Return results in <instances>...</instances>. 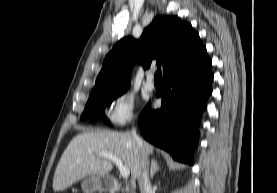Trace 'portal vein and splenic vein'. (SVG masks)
<instances>
[{
  "mask_svg": "<svg viewBox=\"0 0 277 193\" xmlns=\"http://www.w3.org/2000/svg\"><path fill=\"white\" fill-rule=\"evenodd\" d=\"M98 156L111 160L118 167V169L120 171V174L122 175L123 178H128L129 177V175H130L129 168L125 167L123 165V162L119 158H117L113 154H110V153H107V152H100L98 154Z\"/></svg>",
  "mask_w": 277,
  "mask_h": 193,
  "instance_id": "18ae733b",
  "label": "portal vein and splenic vein"
}]
</instances>
